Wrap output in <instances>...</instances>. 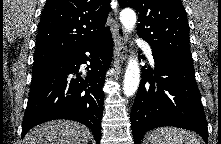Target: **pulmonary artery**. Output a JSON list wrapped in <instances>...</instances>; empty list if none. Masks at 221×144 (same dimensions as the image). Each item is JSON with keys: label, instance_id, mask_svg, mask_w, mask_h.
Returning <instances> with one entry per match:
<instances>
[{"label": "pulmonary artery", "instance_id": "obj_1", "mask_svg": "<svg viewBox=\"0 0 221 144\" xmlns=\"http://www.w3.org/2000/svg\"><path fill=\"white\" fill-rule=\"evenodd\" d=\"M136 43H137L138 46H140L144 50V52L146 53L149 61L153 63L154 59H153V55H152L151 46L146 41L140 40V39H138L136 41Z\"/></svg>", "mask_w": 221, "mask_h": 144}]
</instances>
